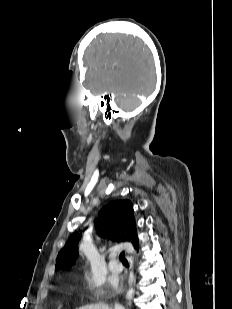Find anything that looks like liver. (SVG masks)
<instances>
[{
    "instance_id": "1",
    "label": "liver",
    "mask_w": 232,
    "mask_h": 309,
    "mask_svg": "<svg viewBox=\"0 0 232 309\" xmlns=\"http://www.w3.org/2000/svg\"><path fill=\"white\" fill-rule=\"evenodd\" d=\"M79 309H111V308L107 304L97 303V304L82 306Z\"/></svg>"
}]
</instances>
